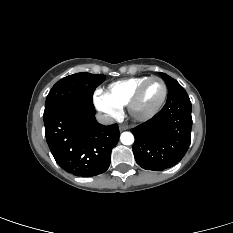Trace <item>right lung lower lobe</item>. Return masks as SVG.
Wrapping results in <instances>:
<instances>
[{
    "instance_id": "right-lung-lower-lobe-1",
    "label": "right lung lower lobe",
    "mask_w": 233,
    "mask_h": 233,
    "mask_svg": "<svg viewBox=\"0 0 233 233\" xmlns=\"http://www.w3.org/2000/svg\"><path fill=\"white\" fill-rule=\"evenodd\" d=\"M45 135L57 164L76 176L104 173L120 132L118 125L104 126L95 119L92 101L75 100L44 113Z\"/></svg>"
}]
</instances>
